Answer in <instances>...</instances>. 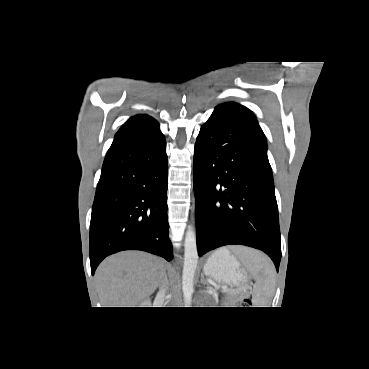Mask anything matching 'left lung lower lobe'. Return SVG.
Instances as JSON below:
<instances>
[{
    "label": "left lung lower lobe",
    "mask_w": 369,
    "mask_h": 369,
    "mask_svg": "<svg viewBox=\"0 0 369 369\" xmlns=\"http://www.w3.org/2000/svg\"><path fill=\"white\" fill-rule=\"evenodd\" d=\"M198 255L224 245L264 251L278 271L281 239L267 143L257 125L215 109L194 149Z\"/></svg>",
    "instance_id": "left-lung-lower-lobe-1"
}]
</instances>
